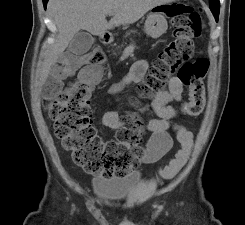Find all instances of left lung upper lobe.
Here are the masks:
<instances>
[{
  "label": "left lung upper lobe",
  "instance_id": "1",
  "mask_svg": "<svg viewBox=\"0 0 245 225\" xmlns=\"http://www.w3.org/2000/svg\"><path fill=\"white\" fill-rule=\"evenodd\" d=\"M209 6L211 11L213 12L216 20H218L220 2L219 0H209Z\"/></svg>",
  "mask_w": 245,
  "mask_h": 225
}]
</instances>
